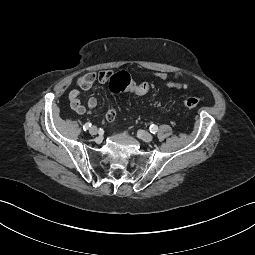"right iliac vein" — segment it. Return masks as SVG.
Wrapping results in <instances>:
<instances>
[{
  "label": "right iliac vein",
  "mask_w": 255,
  "mask_h": 255,
  "mask_svg": "<svg viewBox=\"0 0 255 255\" xmlns=\"http://www.w3.org/2000/svg\"><path fill=\"white\" fill-rule=\"evenodd\" d=\"M89 133H90L91 135H96V134L98 133L97 127L92 126V127L89 129Z\"/></svg>",
  "instance_id": "1"
}]
</instances>
